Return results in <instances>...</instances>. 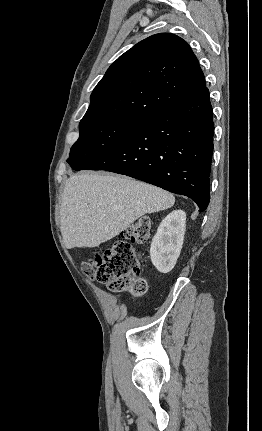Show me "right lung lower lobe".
<instances>
[{
  "mask_svg": "<svg viewBox=\"0 0 262 431\" xmlns=\"http://www.w3.org/2000/svg\"><path fill=\"white\" fill-rule=\"evenodd\" d=\"M213 113L208 88L141 120L85 170L127 175L190 197L200 212L210 200Z\"/></svg>",
  "mask_w": 262,
  "mask_h": 431,
  "instance_id": "1",
  "label": "right lung lower lobe"
}]
</instances>
